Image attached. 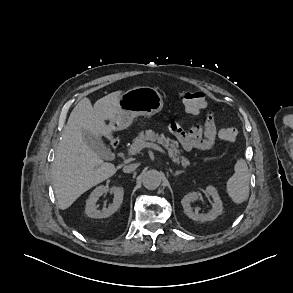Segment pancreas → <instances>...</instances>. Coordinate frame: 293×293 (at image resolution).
<instances>
[{
  "instance_id": "pancreas-1",
  "label": "pancreas",
  "mask_w": 293,
  "mask_h": 293,
  "mask_svg": "<svg viewBox=\"0 0 293 293\" xmlns=\"http://www.w3.org/2000/svg\"><path fill=\"white\" fill-rule=\"evenodd\" d=\"M147 142H157L161 144L164 148L167 149L169 156L172 158L173 162L177 164H181L183 167H187L190 165L189 159L182 156L183 150L178 149V142L175 140H172L170 138H166L163 134H157L153 132L152 130H146L145 132H140L138 137H136L132 144L129 146L130 150L132 147H134L137 144L141 143H147ZM196 163H194L195 165Z\"/></svg>"
}]
</instances>
